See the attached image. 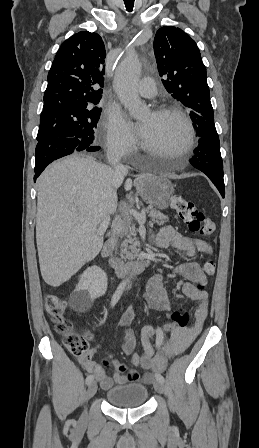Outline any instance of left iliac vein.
<instances>
[{
  "mask_svg": "<svg viewBox=\"0 0 259 448\" xmlns=\"http://www.w3.org/2000/svg\"><path fill=\"white\" fill-rule=\"evenodd\" d=\"M154 388L160 394H162L164 392V385L162 382H160L158 380L155 381Z\"/></svg>",
  "mask_w": 259,
  "mask_h": 448,
  "instance_id": "left-iliac-vein-1",
  "label": "left iliac vein"
}]
</instances>
